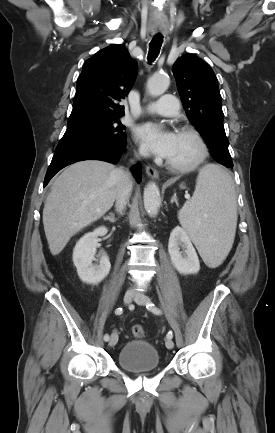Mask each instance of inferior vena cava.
<instances>
[{"label":"inferior vena cava","instance_id":"obj_1","mask_svg":"<svg viewBox=\"0 0 275 433\" xmlns=\"http://www.w3.org/2000/svg\"><path fill=\"white\" fill-rule=\"evenodd\" d=\"M124 176H125V183L122 186V189L118 195V198L116 199V204H115L116 210L120 214H122V211L124 210L127 204V199L132 190V182L130 181L128 174L124 173Z\"/></svg>","mask_w":275,"mask_h":433}]
</instances>
